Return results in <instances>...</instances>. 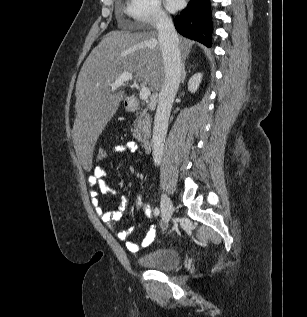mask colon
<instances>
[{
  "mask_svg": "<svg viewBox=\"0 0 307 317\" xmlns=\"http://www.w3.org/2000/svg\"><path fill=\"white\" fill-rule=\"evenodd\" d=\"M107 156H108V152H107V150L105 148L99 147V148L96 149V151H95V160L98 163L104 162L107 159ZM135 203H136V206L138 208H142L144 206L140 195H136L135 196Z\"/></svg>",
  "mask_w": 307,
  "mask_h": 317,
  "instance_id": "colon-1",
  "label": "colon"
}]
</instances>
